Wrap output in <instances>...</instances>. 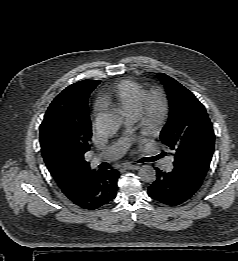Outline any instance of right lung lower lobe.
Returning <instances> with one entry per match:
<instances>
[{"instance_id":"right-lung-lower-lobe-1","label":"right lung lower lobe","mask_w":238,"mask_h":261,"mask_svg":"<svg viewBox=\"0 0 238 261\" xmlns=\"http://www.w3.org/2000/svg\"><path fill=\"white\" fill-rule=\"evenodd\" d=\"M119 173L116 170L95 171L84 188L69 198L75 205L95 210L108 204L116 196Z\"/></svg>"}]
</instances>
